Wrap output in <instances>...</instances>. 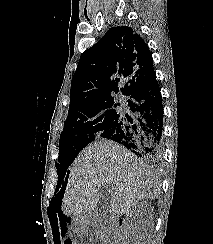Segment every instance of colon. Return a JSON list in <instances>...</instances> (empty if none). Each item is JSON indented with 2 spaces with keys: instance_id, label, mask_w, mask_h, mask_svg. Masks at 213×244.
I'll return each mask as SVG.
<instances>
[{
  "instance_id": "obj_1",
  "label": "colon",
  "mask_w": 213,
  "mask_h": 244,
  "mask_svg": "<svg viewBox=\"0 0 213 244\" xmlns=\"http://www.w3.org/2000/svg\"><path fill=\"white\" fill-rule=\"evenodd\" d=\"M63 244H76V242L73 239H66L64 240Z\"/></svg>"
}]
</instances>
